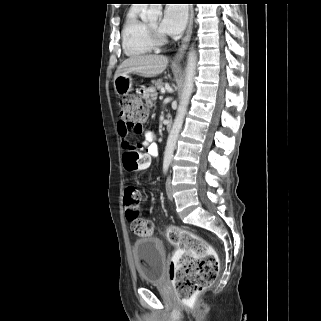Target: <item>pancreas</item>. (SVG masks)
<instances>
[{"instance_id": "cf45deb5", "label": "pancreas", "mask_w": 321, "mask_h": 321, "mask_svg": "<svg viewBox=\"0 0 321 321\" xmlns=\"http://www.w3.org/2000/svg\"><path fill=\"white\" fill-rule=\"evenodd\" d=\"M153 83H154L155 88L157 90H161V88H163V86H164L162 79H158V80L154 81Z\"/></svg>"}]
</instances>
